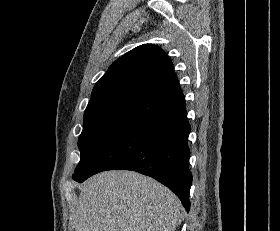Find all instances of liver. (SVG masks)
Returning a JSON list of instances; mask_svg holds the SVG:
<instances>
[{
  "label": "liver",
  "instance_id": "6515ba94",
  "mask_svg": "<svg viewBox=\"0 0 280 231\" xmlns=\"http://www.w3.org/2000/svg\"><path fill=\"white\" fill-rule=\"evenodd\" d=\"M75 231H174L181 205L168 187L137 171H102L79 185Z\"/></svg>",
  "mask_w": 280,
  "mask_h": 231
}]
</instances>
